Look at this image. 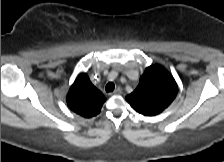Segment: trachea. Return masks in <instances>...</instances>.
<instances>
[{"instance_id":"trachea-1","label":"trachea","mask_w":224,"mask_h":162,"mask_svg":"<svg viewBox=\"0 0 224 162\" xmlns=\"http://www.w3.org/2000/svg\"><path fill=\"white\" fill-rule=\"evenodd\" d=\"M114 89H115V85L113 82H109L105 87V90L107 93L112 92Z\"/></svg>"}]
</instances>
